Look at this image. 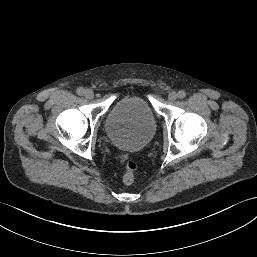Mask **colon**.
I'll return each instance as SVG.
<instances>
[{"mask_svg":"<svg viewBox=\"0 0 257 257\" xmlns=\"http://www.w3.org/2000/svg\"><path fill=\"white\" fill-rule=\"evenodd\" d=\"M123 163L125 166L123 181L126 185H132L135 181V174L138 169V164L134 159L128 157H124Z\"/></svg>","mask_w":257,"mask_h":257,"instance_id":"5ec220e1","label":"colon"}]
</instances>
